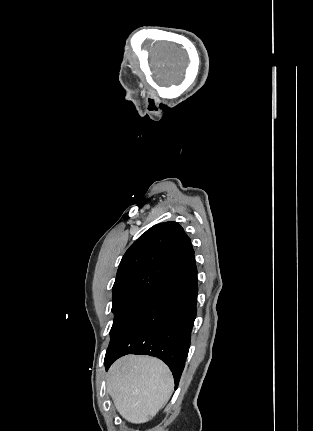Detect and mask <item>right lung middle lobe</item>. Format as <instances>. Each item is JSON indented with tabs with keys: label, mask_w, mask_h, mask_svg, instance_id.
Returning a JSON list of instances; mask_svg holds the SVG:
<instances>
[{
	"label": "right lung middle lobe",
	"mask_w": 313,
	"mask_h": 431,
	"mask_svg": "<svg viewBox=\"0 0 313 431\" xmlns=\"http://www.w3.org/2000/svg\"><path fill=\"white\" fill-rule=\"evenodd\" d=\"M147 296L145 294H124L113 297L114 322L110 331L111 340L120 332Z\"/></svg>",
	"instance_id": "right-lung-middle-lobe-1"
}]
</instances>
